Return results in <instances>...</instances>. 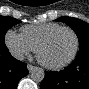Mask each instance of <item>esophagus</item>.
Returning a JSON list of instances; mask_svg holds the SVG:
<instances>
[{"mask_svg": "<svg viewBox=\"0 0 89 89\" xmlns=\"http://www.w3.org/2000/svg\"><path fill=\"white\" fill-rule=\"evenodd\" d=\"M27 68H28L29 72H32L36 67L33 66V65L28 64Z\"/></svg>", "mask_w": 89, "mask_h": 89, "instance_id": "esophagus-1", "label": "esophagus"}]
</instances>
